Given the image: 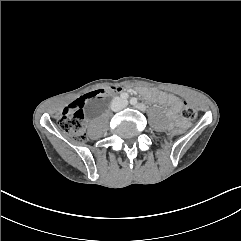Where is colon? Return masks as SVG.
Here are the masks:
<instances>
[{
  "instance_id": "obj_1",
  "label": "colon",
  "mask_w": 241,
  "mask_h": 241,
  "mask_svg": "<svg viewBox=\"0 0 241 241\" xmlns=\"http://www.w3.org/2000/svg\"><path fill=\"white\" fill-rule=\"evenodd\" d=\"M118 90L117 87H107L103 89H98L84 95L79 101L70 104L58 120V125L60 129L74 137L77 140H86L85 131V115L82 110V104L87 99H93L107 95L109 93ZM182 116L186 120H194L197 117V111L187 103L184 104L182 109ZM185 134V129L183 127H171L167 130V135L169 137L180 138Z\"/></svg>"
}]
</instances>
